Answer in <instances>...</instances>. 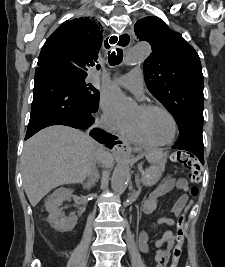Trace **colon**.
Listing matches in <instances>:
<instances>
[{
	"label": "colon",
	"instance_id": "colon-1",
	"mask_svg": "<svg viewBox=\"0 0 225 267\" xmlns=\"http://www.w3.org/2000/svg\"><path fill=\"white\" fill-rule=\"evenodd\" d=\"M171 159L174 162H178L183 165L189 172V178L193 183L190 188V195L192 198L197 197L199 189L197 184L200 183L202 178V166L200 162L190 153L178 151L173 153ZM192 200L187 203L183 212L179 215L177 221L176 243L172 254V262L170 267H177L182 255L183 243H184V220L185 213L190 209ZM167 261L165 259L160 260L156 267H166Z\"/></svg>",
	"mask_w": 225,
	"mask_h": 267
}]
</instances>
